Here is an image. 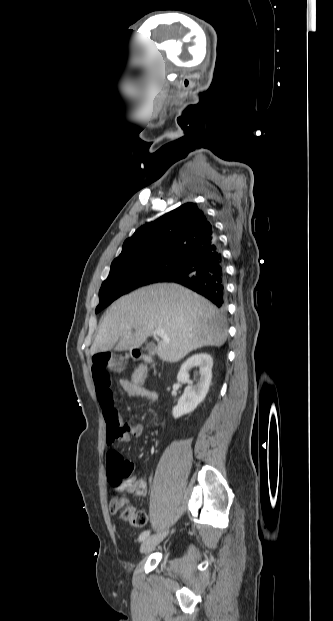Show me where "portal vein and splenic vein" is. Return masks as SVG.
<instances>
[{
    "label": "portal vein and splenic vein",
    "instance_id": "18ae733b",
    "mask_svg": "<svg viewBox=\"0 0 333 621\" xmlns=\"http://www.w3.org/2000/svg\"><path fill=\"white\" fill-rule=\"evenodd\" d=\"M156 334H157L158 337L162 338L163 340H168V337L165 334L164 329H158Z\"/></svg>",
    "mask_w": 333,
    "mask_h": 621
}]
</instances>
